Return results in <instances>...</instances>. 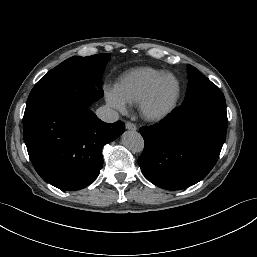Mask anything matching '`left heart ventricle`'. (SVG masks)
Wrapping results in <instances>:
<instances>
[{"label": "left heart ventricle", "mask_w": 257, "mask_h": 257, "mask_svg": "<svg viewBox=\"0 0 257 257\" xmlns=\"http://www.w3.org/2000/svg\"><path fill=\"white\" fill-rule=\"evenodd\" d=\"M177 92V82L174 78H166L160 85L157 94L150 106L151 111L160 112L173 100Z\"/></svg>", "instance_id": "b2bd125f"}]
</instances>
